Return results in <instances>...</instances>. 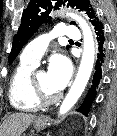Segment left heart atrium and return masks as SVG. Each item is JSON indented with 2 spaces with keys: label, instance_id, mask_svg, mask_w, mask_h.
Here are the masks:
<instances>
[{
  "label": "left heart atrium",
  "instance_id": "1",
  "mask_svg": "<svg viewBox=\"0 0 117 136\" xmlns=\"http://www.w3.org/2000/svg\"><path fill=\"white\" fill-rule=\"evenodd\" d=\"M71 75V64L63 55L53 56L50 60L47 76L51 86L60 92Z\"/></svg>",
  "mask_w": 117,
  "mask_h": 136
}]
</instances>
